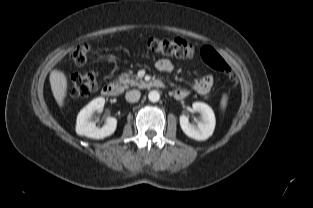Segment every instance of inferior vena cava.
Here are the masks:
<instances>
[{
  "label": "inferior vena cava",
  "mask_w": 313,
  "mask_h": 208,
  "mask_svg": "<svg viewBox=\"0 0 313 208\" xmlns=\"http://www.w3.org/2000/svg\"><path fill=\"white\" fill-rule=\"evenodd\" d=\"M141 93L138 90H131L126 93L125 98L128 102L134 103L140 99Z\"/></svg>",
  "instance_id": "602c4592"
}]
</instances>
